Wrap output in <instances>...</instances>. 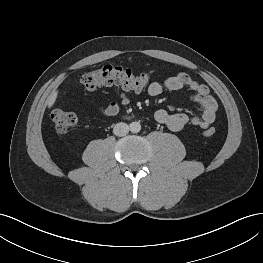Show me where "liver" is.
Segmentation results:
<instances>
[{"label": "liver", "mask_w": 263, "mask_h": 263, "mask_svg": "<svg viewBox=\"0 0 263 263\" xmlns=\"http://www.w3.org/2000/svg\"><path fill=\"white\" fill-rule=\"evenodd\" d=\"M57 97H58V91H54L50 94L47 100V105L49 108H51L55 104Z\"/></svg>", "instance_id": "liver-1"}]
</instances>
